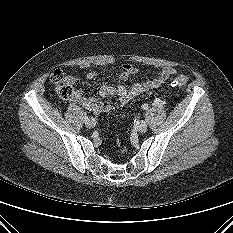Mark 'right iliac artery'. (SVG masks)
Masks as SVG:
<instances>
[{
    "label": "right iliac artery",
    "instance_id": "obj_1",
    "mask_svg": "<svg viewBox=\"0 0 233 233\" xmlns=\"http://www.w3.org/2000/svg\"><path fill=\"white\" fill-rule=\"evenodd\" d=\"M82 120H83V121H87V120H88V117H87V116H84V117L82 118Z\"/></svg>",
    "mask_w": 233,
    "mask_h": 233
}]
</instances>
